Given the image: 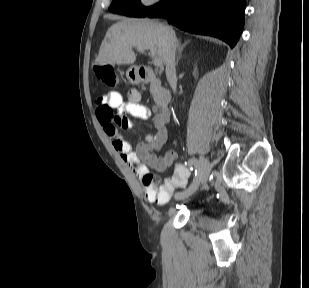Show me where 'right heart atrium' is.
<instances>
[{"instance_id":"obj_1","label":"right heart atrium","mask_w":309,"mask_h":288,"mask_svg":"<svg viewBox=\"0 0 309 288\" xmlns=\"http://www.w3.org/2000/svg\"><path fill=\"white\" fill-rule=\"evenodd\" d=\"M163 0H139V3L144 8H153L159 5Z\"/></svg>"}]
</instances>
